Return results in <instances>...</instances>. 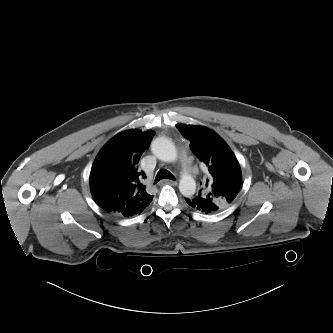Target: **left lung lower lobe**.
<instances>
[{"label":"left lung lower lobe","mask_w":333,"mask_h":333,"mask_svg":"<svg viewBox=\"0 0 333 333\" xmlns=\"http://www.w3.org/2000/svg\"><path fill=\"white\" fill-rule=\"evenodd\" d=\"M185 200L191 208H194L198 211H202L205 213H213L219 210L218 206L214 202L199 196L186 198Z\"/></svg>","instance_id":"1"}]
</instances>
